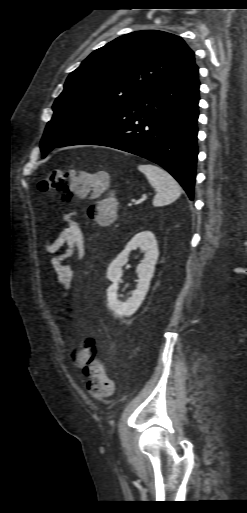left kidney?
I'll list each match as a JSON object with an SVG mask.
<instances>
[{
    "label": "left kidney",
    "mask_w": 247,
    "mask_h": 513,
    "mask_svg": "<svg viewBox=\"0 0 247 513\" xmlns=\"http://www.w3.org/2000/svg\"><path fill=\"white\" fill-rule=\"evenodd\" d=\"M137 248H140L145 253L143 260L136 270L139 278L138 284L131 297L125 302H120L118 300V285L123 273L122 266L128 262L130 252ZM158 256V243L154 234L150 231H143L136 234L110 264L107 277L113 284L107 289V301L108 308L115 317L131 316L140 307L149 289Z\"/></svg>",
    "instance_id": "1"
}]
</instances>
